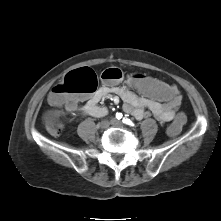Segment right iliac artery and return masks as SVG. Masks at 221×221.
I'll use <instances>...</instances> for the list:
<instances>
[{
    "mask_svg": "<svg viewBox=\"0 0 221 221\" xmlns=\"http://www.w3.org/2000/svg\"><path fill=\"white\" fill-rule=\"evenodd\" d=\"M116 118L119 120L122 118V113H116Z\"/></svg>",
    "mask_w": 221,
    "mask_h": 221,
    "instance_id": "82829eb1",
    "label": "right iliac artery"
}]
</instances>
